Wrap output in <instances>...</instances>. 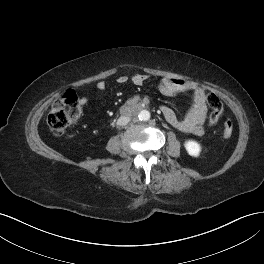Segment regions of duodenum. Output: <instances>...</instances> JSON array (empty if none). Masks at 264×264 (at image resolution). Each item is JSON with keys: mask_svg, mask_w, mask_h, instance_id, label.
I'll return each instance as SVG.
<instances>
[{"mask_svg": "<svg viewBox=\"0 0 264 264\" xmlns=\"http://www.w3.org/2000/svg\"><path fill=\"white\" fill-rule=\"evenodd\" d=\"M142 108V105H138V107H137V109H141ZM131 115V110L129 109V108H124L123 110H122V116L124 117V118H127V117H129Z\"/></svg>", "mask_w": 264, "mask_h": 264, "instance_id": "410a0bca", "label": "duodenum"}]
</instances>
